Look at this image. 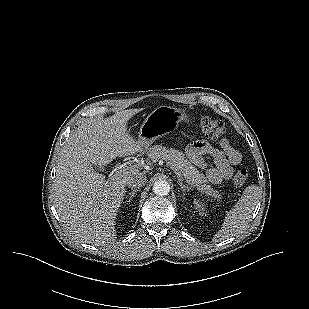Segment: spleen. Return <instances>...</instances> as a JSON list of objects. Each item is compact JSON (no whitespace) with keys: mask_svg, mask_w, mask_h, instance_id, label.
I'll return each instance as SVG.
<instances>
[{"mask_svg":"<svg viewBox=\"0 0 309 309\" xmlns=\"http://www.w3.org/2000/svg\"><path fill=\"white\" fill-rule=\"evenodd\" d=\"M260 190L256 185L245 188L235 206L227 212L221 229L213 238L215 241H222L235 236L242 231L249 223L253 211L259 202Z\"/></svg>","mask_w":309,"mask_h":309,"instance_id":"obj_1","label":"spleen"}]
</instances>
